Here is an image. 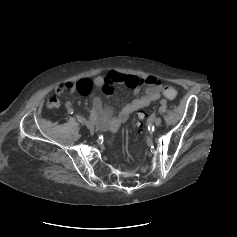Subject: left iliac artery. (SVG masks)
<instances>
[{"mask_svg": "<svg viewBox=\"0 0 237 237\" xmlns=\"http://www.w3.org/2000/svg\"><path fill=\"white\" fill-rule=\"evenodd\" d=\"M162 105H165L167 103V101L165 99H162L160 102Z\"/></svg>", "mask_w": 237, "mask_h": 237, "instance_id": "1", "label": "left iliac artery"}]
</instances>
